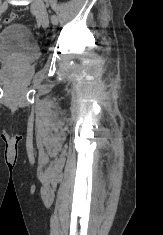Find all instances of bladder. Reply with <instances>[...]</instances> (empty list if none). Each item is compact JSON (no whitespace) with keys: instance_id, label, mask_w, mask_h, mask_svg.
Here are the masks:
<instances>
[{"instance_id":"bladder-1","label":"bladder","mask_w":163,"mask_h":235,"mask_svg":"<svg viewBox=\"0 0 163 235\" xmlns=\"http://www.w3.org/2000/svg\"><path fill=\"white\" fill-rule=\"evenodd\" d=\"M40 56V48L31 30L13 23L0 30V59L32 63Z\"/></svg>"}]
</instances>
